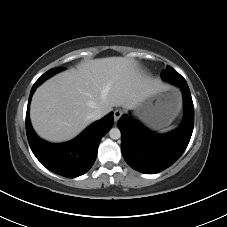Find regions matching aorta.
<instances>
[{"mask_svg":"<svg viewBox=\"0 0 227 227\" xmlns=\"http://www.w3.org/2000/svg\"><path fill=\"white\" fill-rule=\"evenodd\" d=\"M109 136L111 139L117 140L121 137V132L118 128H112L109 131Z\"/></svg>","mask_w":227,"mask_h":227,"instance_id":"obj_1","label":"aorta"}]
</instances>
